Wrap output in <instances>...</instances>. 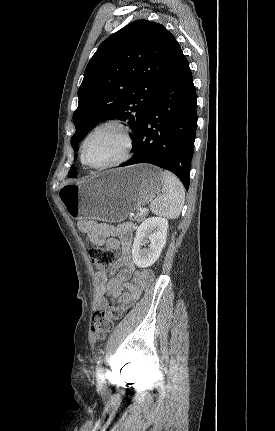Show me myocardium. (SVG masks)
Returning a JSON list of instances; mask_svg holds the SVG:
<instances>
[{
  "instance_id": "obj_1",
  "label": "myocardium",
  "mask_w": 275,
  "mask_h": 431,
  "mask_svg": "<svg viewBox=\"0 0 275 431\" xmlns=\"http://www.w3.org/2000/svg\"><path fill=\"white\" fill-rule=\"evenodd\" d=\"M107 127H113L118 129L124 138V150L122 155L117 158L116 160H113L111 162L108 163H104V164H99V165H93L91 163H89L86 159V146L87 143L89 141V139L99 130L107 128ZM132 149H133V138H132V134H131V130L130 128L121 120L119 119H109L106 121H103L101 123H99L98 125H96L95 127H93L89 133L86 135V137L84 138L82 145H81V160L83 162V164H85L86 166L92 168V169H108V168H112V167H116L119 165L124 164L125 162H127L132 154Z\"/></svg>"
}]
</instances>
